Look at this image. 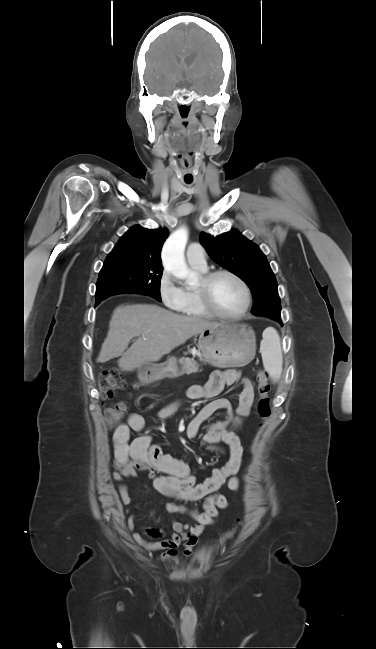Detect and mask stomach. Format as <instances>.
I'll list each match as a JSON object with an SVG mask.
<instances>
[{"instance_id": "0dacf381", "label": "stomach", "mask_w": 376, "mask_h": 649, "mask_svg": "<svg viewBox=\"0 0 376 649\" xmlns=\"http://www.w3.org/2000/svg\"><path fill=\"white\" fill-rule=\"evenodd\" d=\"M255 333L245 324L220 325L200 332L198 348L203 360L215 367L244 366L255 356ZM181 361L170 357L161 365L145 364L139 368V379L153 383L164 377L176 378L181 374Z\"/></svg>"}]
</instances>
